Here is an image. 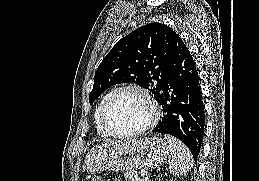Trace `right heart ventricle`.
<instances>
[{
    "label": "right heart ventricle",
    "mask_w": 259,
    "mask_h": 181,
    "mask_svg": "<svg viewBox=\"0 0 259 181\" xmlns=\"http://www.w3.org/2000/svg\"><path fill=\"white\" fill-rule=\"evenodd\" d=\"M111 92L106 93L101 100L99 101V103L97 104L95 110H94V114H93V118H94V124H95V128H96V132L99 136L102 137H109L110 134L106 131V129L103 127L102 123H101V110L102 107L104 105V102L106 101L107 97L109 96Z\"/></svg>",
    "instance_id": "1"
}]
</instances>
